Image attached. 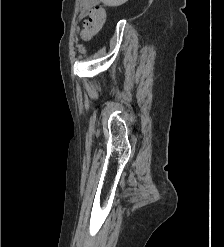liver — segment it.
I'll list each match as a JSON object with an SVG mask.
<instances>
[{"label":"liver","instance_id":"liver-1","mask_svg":"<svg viewBox=\"0 0 224 247\" xmlns=\"http://www.w3.org/2000/svg\"><path fill=\"white\" fill-rule=\"evenodd\" d=\"M99 2H102L104 6H122V4H125V2H128V0H99Z\"/></svg>","mask_w":224,"mask_h":247}]
</instances>
